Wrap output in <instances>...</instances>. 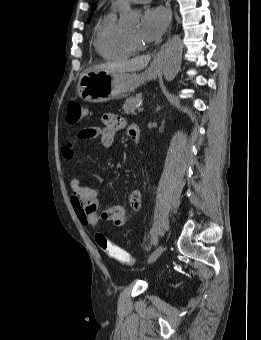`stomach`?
<instances>
[{
	"label": "stomach",
	"mask_w": 261,
	"mask_h": 340,
	"mask_svg": "<svg viewBox=\"0 0 261 340\" xmlns=\"http://www.w3.org/2000/svg\"><path fill=\"white\" fill-rule=\"evenodd\" d=\"M161 63L153 61L143 73L87 71L78 82V94L88 102H105L135 91L147 81L156 79Z\"/></svg>",
	"instance_id": "0dacf381"
}]
</instances>
